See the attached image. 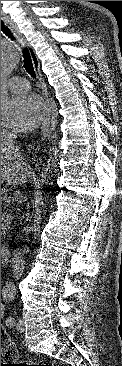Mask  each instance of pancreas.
Instances as JSON below:
<instances>
[{
	"instance_id": "pancreas-1",
	"label": "pancreas",
	"mask_w": 122,
	"mask_h": 366,
	"mask_svg": "<svg viewBox=\"0 0 122 366\" xmlns=\"http://www.w3.org/2000/svg\"><path fill=\"white\" fill-rule=\"evenodd\" d=\"M8 198L7 195V189L1 188V204L2 201L6 200ZM5 215H1V234L8 229V225L4 221Z\"/></svg>"
}]
</instances>
